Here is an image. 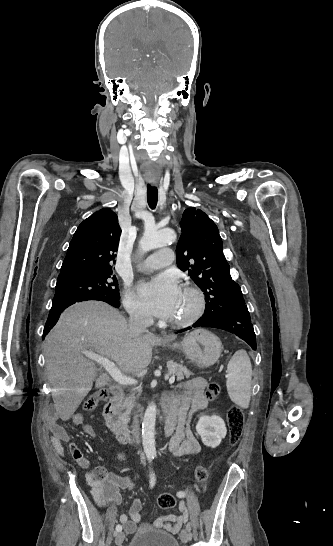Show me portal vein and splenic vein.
Segmentation results:
<instances>
[{
  "label": "portal vein and splenic vein",
  "instance_id": "obj_1",
  "mask_svg": "<svg viewBox=\"0 0 333 546\" xmlns=\"http://www.w3.org/2000/svg\"><path fill=\"white\" fill-rule=\"evenodd\" d=\"M85 356L95 362H97L99 365L103 366L106 371L110 374V376L120 385H136L138 382L134 378L130 376H126L121 373L120 369H118L113 362H111L108 358L103 357L99 354L87 352L85 353ZM175 381V376H171L169 378V383L173 384Z\"/></svg>",
  "mask_w": 333,
  "mask_h": 546
}]
</instances>
